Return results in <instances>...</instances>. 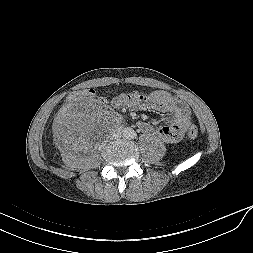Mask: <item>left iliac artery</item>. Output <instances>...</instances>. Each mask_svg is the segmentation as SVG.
Wrapping results in <instances>:
<instances>
[{
    "instance_id": "1",
    "label": "left iliac artery",
    "mask_w": 253,
    "mask_h": 253,
    "mask_svg": "<svg viewBox=\"0 0 253 253\" xmlns=\"http://www.w3.org/2000/svg\"><path fill=\"white\" fill-rule=\"evenodd\" d=\"M131 138H132V139L136 138V134H135V133H132Z\"/></svg>"
}]
</instances>
